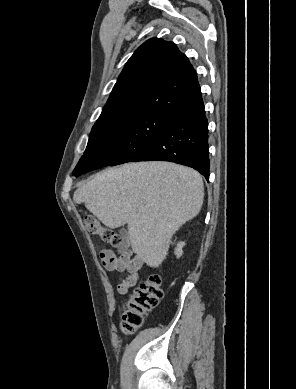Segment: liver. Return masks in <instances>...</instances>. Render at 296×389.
<instances>
[{
  "label": "liver",
  "mask_w": 296,
  "mask_h": 389,
  "mask_svg": "<svg viewBox=\"0 0 296 389\" xmlns=\"http://www.w3.org/2000/svg\"><path fill=\"white\" fill-rule=\"evenodd\" d=\"M203 197L198 172L152 161L104 170L78 188L73 200L84 203L106 227L127 224L132 250L156 268L166 258L173 234L199 214Z\"/></svg>",
  "instance_id": "obj_1"
}]
</instances>
